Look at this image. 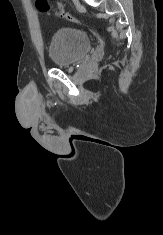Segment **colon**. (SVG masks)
Segmentation results:
<instances>
[{
	"instance_id": "obj_1",
	"label": "colon",
	"mask_w": 163,
	"mask_h": 235,
	"mask_svg": "<svg viewBox=\"0 0 163 235\" xmlns=\"http://www.w3.org/2000/svg\"><path fill=\"white\" fill-rule=\"evenodd\" d=\"M37 2H38V5L41 10L49 11L51 9V5L48 0H38ZM56 13L64 19L71 20V21H77V19L73 15H71L68 11H66L61 6L57 7Z\"/></svg>"
}]
</instances>
